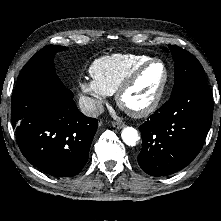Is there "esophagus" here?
Returning a JSON list of instances; mask_svg holds the SVG:
<instances>
[{"mask_svg": "<svg viewBox=\"0 0 221 221\" xmlns=\"http://www.w3.org/2000/svg\"><path fill=\"white\" fill-rule=\"evenodd\" d=\"M112 126L115 127V128H117V129H121V128L124 127V124L121 123V122H116V121H114V122H112Z\"/></svg>", "mask_w": 221, "mask_h": 221, "instance_id": "1", "label": "esophagus"}]
</instances>
